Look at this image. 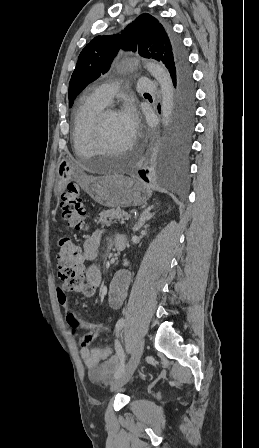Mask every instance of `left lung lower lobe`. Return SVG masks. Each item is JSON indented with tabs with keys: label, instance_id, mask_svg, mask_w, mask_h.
<instances>
[{
	"label": "left lung lower lobe",
	"instance_id": "1",
	"mask_svg": "<svg viewBox=\"0 0 259 448\" xmlns=\"http://www.w3.org/2000/svg\"><path fill=\"white\" fill-rule=\"evenodd\" d=\"M174 39L179 52L168 70L176 89L175 117L165 157L161 164L152 170L155 182L170 189L179 188L186 179L195 118V90L191 69L180 40ZM148 172L139 171L140 177L147 182Z\"/></svg>",
	"mask_w": 259,
	"mask_h": 448
}]
</instances>
